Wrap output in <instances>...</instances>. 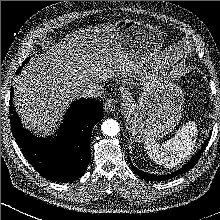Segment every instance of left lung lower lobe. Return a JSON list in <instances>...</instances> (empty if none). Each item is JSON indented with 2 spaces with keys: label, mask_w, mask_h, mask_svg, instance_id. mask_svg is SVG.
Masks as SVG:
<instances>
[{
  "label": "left lung lower lobe",
  "mask_w": 220,
  "mask_h": 220,
  "mask_svg": "<svg viewBox=\"0 0 220 220\" xmlns=\"http://www.w3.org/2000/svg\"><path fill=\"white\" fill-rule=\"evenodd\" d=\"M206 144H207V141H205L202 144L201 149L191 158L190 162H188L184 167H182L180 170L176 171L173 174H169V175H153V174H148V173L140 171L139 169L134 167L132 163H130V164H131V167L134 170V172L137 175H139L141 178L146 179V180H150V181H164V180L170 179L172 177H175L178 174H182V173L190 170L192 167H194V165L199 160V158L201 156V153L203 152V149L206 148Z\"/></svg>",
  "instance_id": "left-lung-lower-lobe-1"
}]
</instances>
